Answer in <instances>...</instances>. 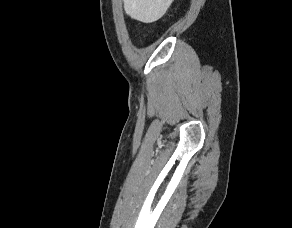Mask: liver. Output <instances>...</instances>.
Returning a JSON list of instances; mask_svg holds the SVG:
<instances>
[{
    "label": "liver",
    "instance_id": "1",
    "mask_svg": "<svg viewBox=\"0 0 292 228\" xmlns=\"http://www.w3.org/2000/svg\"><path fill=\"white\" fill-rule=\"evenodd\" d=\"M125 12L135 20L152 23L160 19L173 0H123Z\"/></svg>",
    "mask_w": 292,
    "mask_h": 228
}]
</instances>
